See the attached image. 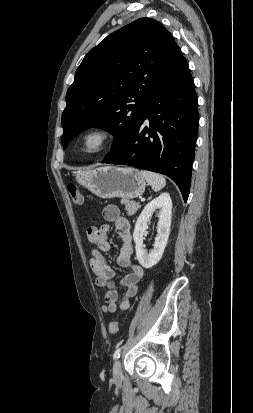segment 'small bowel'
<instances>
[{
    "label": "small bowel",
    "instance_id": "obj_1",
    "mask_svg": "<svg viewBox=\"0 0 253 413\" xmlns=\"http://www.w3.org/2000/svg\"><path fill=\"white\" fill-rule=\"evenodd\" d=\"M103 218L106 221L104 225L99 228L90 226L86 230L88 241L97 246L91 252L89 264L96 275V285L105 289L104 311L114 313L118 310H127L130 307L137 294L138 284L143 278L144 271L139 264L132 260L133 246L130 224L126 218L121 216L119 208L115 205H107L103 209ZM111 224H114L116 232L122 240L117 264L127 270V274L120 281V285L126 288L120 300L114 282L115 271L104 255L111 248L107 239V232Z\"/></svg>",
    "mask_w": 253,
    "mask_h": 413
}]
</instances>
